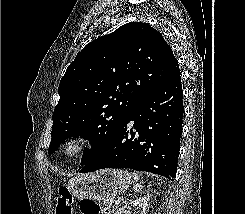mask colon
<instances>
[{
  "label": "colon",
  "instance_id": "5ec220e1",
  "mask_svg": "<svg viewBox=\"0 0 245 214\" xmlns=\"http://www.w3.org/2000/svg\"><path fill=\"white\" fill-rule=\"evenodd\" d=\"M73 196L67 188L59 189L56 201V214H73ZM81 214H110V208L100 205L93 199H83Z\"/></svg>",
  "mask_w": 245,
  "mask_h": 214
}]
</instances>
